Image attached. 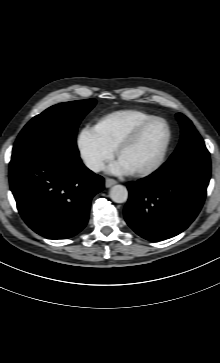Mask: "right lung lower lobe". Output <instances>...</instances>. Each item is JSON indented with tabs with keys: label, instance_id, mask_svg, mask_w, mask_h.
Here are the masks:
<instances>
[{
	"label": "right lung lower lobe",
	"instance_id": "obj_1",
	"mask_svg": "<svg viewBox=\"0 0 220 363\" xmlns=\"http://www.w3.org/2000/svg\"><path fill=\"white\" fill-rule=\"evenodd\" d=\"M10 187L26 224L49 239H66L86 225L92 197L104 188L101 176L80 158L55 148L11 160Z\"/></svg>",
	"mask_w": 220,
	"mask_h": 363
}]
</instances>
